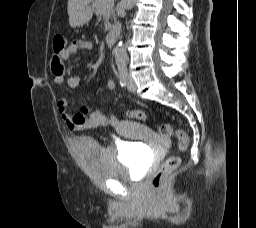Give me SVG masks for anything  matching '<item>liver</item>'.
I'll list each match as a JSON object with an SVG mask.
<instances>
[{"mask_svg": "<svg viewBox=\"0 0 256 228\" xmlns=\"http://www.w3.org/2000/svg\"><path fill=\"white\" fill-rule=\"evenodd\" d=\"M92 0H68V15H72L77 9L87 5Z\"/></svg>", "mask_w": 256, "mask_h": 228, "instance_id": "6515ba94", "label": "liver"}]
</instances>
